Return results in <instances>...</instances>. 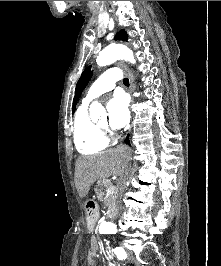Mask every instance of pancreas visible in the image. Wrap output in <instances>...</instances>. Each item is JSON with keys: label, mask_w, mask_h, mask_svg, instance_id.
Returning a JSON list of instances; mask_svg holds the SVG:
<instances>
[{"label": "pancreas", "mask_w": 221, "mask_h": 266, "mask_svg": "<svg viewBox=\"0 0 221 266\" xmlns=\"http://www.w3.org/2000/svg\"><path fill=\"white\" fill-rule=\"evenodd\" d=\"M111 185H112L111 181L110 180H107V179H102V180H100V181L97 182L96 194H97V198L100 201H103L105 199V197H106L105 191ZM116 198H117V190L114 189V191L109 196V203H110V205H112L115 202Z\"/></svg>", "instance_id": "obj_1"}]
</instances>
